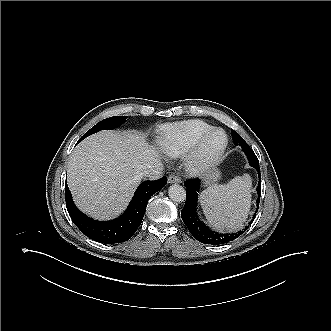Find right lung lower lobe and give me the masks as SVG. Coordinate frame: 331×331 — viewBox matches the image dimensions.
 I'll return each instance as SVG.
<instances>
[{
    "label": "right lung lower lobe",
    "mask_w": 331,
    "mask_h": 331,
    "mask_svg": "<svg viewBox=\"0 0 331 331\" xmlns=\"http://www.w3.org/2000/svg\"><path fill=\"white\" fill-rule=\"evenodd\" d=\"M166 183V177L143 182L123 215L107 222L96 221L84 215L74 205L67 184H65L66 206L75 225L90 239L105 244L125 242L133 236L141 224L149 198L161 190Z\"/></svg>",
    "instance_id": "1"
}]
</instances>
